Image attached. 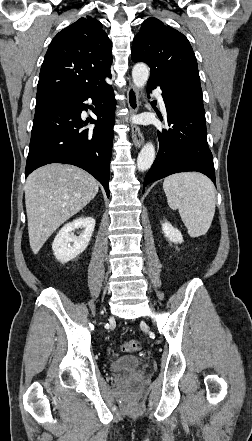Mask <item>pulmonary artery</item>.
I'll return each instance as SVG.
<instances>
[{
    "instance_id": "e3ab8cb5",
    "label": "pulmonary artery",
    "mask_w": 252,
    "mask_h": 441,
    "mask_svg": "<svg viewBox=\"0 0 252 441\" xmlns=\"http://www.w3.org/2000/svg\"><path fill=\"white\" fill-rule=\"evenodd\" d=\"M153 93H154V94L156 95V97L158 98V101H159V104H160L161 109H162L163 111H165L166 108H165V104H164V101H163V98H162L161 93H160L159 91H157V90H154Z\"/></svg>"
}]
</instances>
